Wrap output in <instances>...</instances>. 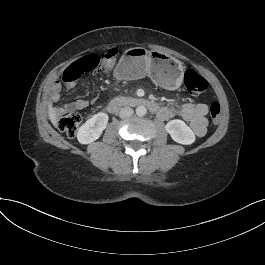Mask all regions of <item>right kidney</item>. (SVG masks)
I'll use <instances>...</instances> for the list:
<instances>
[{"instance_id":"obj_1","label":"right kidney","mask_w":265,"mask_h":265,"mask_svg":"<svg viewBox=\"0 0 265 265\" xmlns=\"http://www.w3.org/2000/svg\"><path fill=\"white\" fill-rule=\"evenodd\" d=\"M108 123L106 113H97L88 119L78 130L77 139L81 144H89L97 140Z\"/></svg>"}]
</instances>
